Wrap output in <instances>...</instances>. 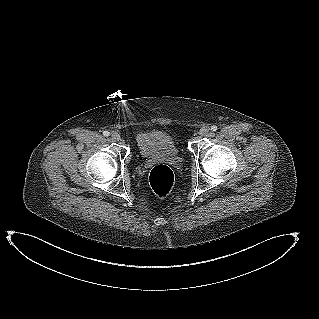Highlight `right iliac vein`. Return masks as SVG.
<instances>
[{
  "instance_id": "1",
  "label": "right iliac vein",
  "mask_w": 319,
  "mask_h": 319,
  "mask_svg": "<svg viewBox=\"0 0 319 319\" xmlns=\"http://www.w3.org/2000/svg\"><path fill=\"white\" fill-rule=\"evenodd\" d=\"M111 137L113 140H120V135L117 132H112Z\"/></svg>"
}]
</instances>
